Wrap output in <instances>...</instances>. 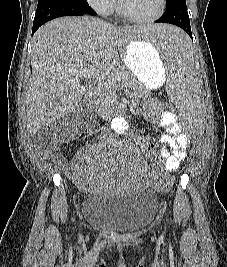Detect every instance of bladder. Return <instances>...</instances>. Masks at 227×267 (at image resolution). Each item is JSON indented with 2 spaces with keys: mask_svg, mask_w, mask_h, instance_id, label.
<instances>
[{
  "mask_svg": "<svg viewBox=\"0 0 227 267\" xmlns=\"http://www.w3.org/2000/svg\"><path fill=\"white\" fill-rule=\"evenodd\" d=\"M157 197L142 189L125 195H89L82 205L85 222L95 228L112 231H132L148 223L156 214Z\"/></svg>",
  "mask_w": 227,
  "mask_h": 267,
  "instance_id": "1",
  "label": "bladder"
}]
</instances>
